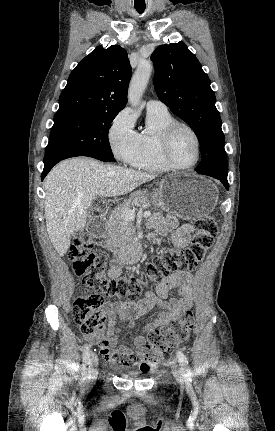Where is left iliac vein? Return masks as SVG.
I'll list each match as a JSON object with an SVG mask.
<instances>
[{
  "label": "left iliac vein",
  "instance_id": "4c4485c4",
  "mask_svg": "<svg viewBox=\"0 0 275 431\" xmlns=\"http://www.w3.org/2000/svg\"><path fill=\"white\" fill-rule=\"evenodd\" d=\"M172 371L173 375L179 382L183 381V373L175 363L172 364Z\"/></svg>",
  "mask_w": 275,
  "mask_h": 431
}]
</instances>
